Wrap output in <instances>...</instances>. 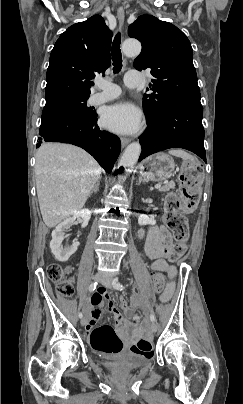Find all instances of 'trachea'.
Instances as JSON below:
<instances>
[{
	"instance_id": "obj_1",
	"label": "trachea",
	"mask_w": 243,
	"mask_h": 404,
	"mask_svg": "<svg viewBox=\"0 0 243 404\" xmlns=\"http://www.w3.org/2000/svg\"><path fill=\"white\" fill-rule=\"evenodd\" d=\"M121 34L117 33L114 41L112 43V62H113V71L114 73H119L122 68V55H121Z\"/></svg>"
}]
</instances>
